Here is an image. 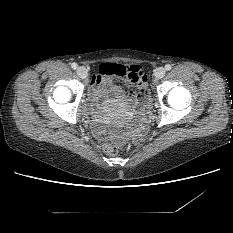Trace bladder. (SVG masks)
Listing matches in <instances>:
<instances>
[{"label":"bladder","mask_w":233,"mask_h":233,"mask_svg":"<svg viewBox=\"0 0 233 233\" xmlns=\"http://www.w3.org/2000/svg\"><path fill=\"white\" fill-rule=\"evenodd\" d=\"M146 101H150V96H149V94L148 93H146Z\"/></svg>","instance_id":"31cf9c89"}]
</instances>
